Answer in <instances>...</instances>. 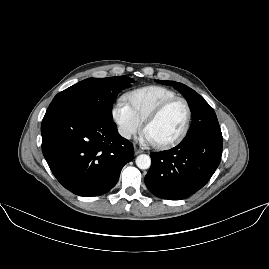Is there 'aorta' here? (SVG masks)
Instances as JSON below:
<instances>
[{
  "mask_svg": "<svg viewBox=\"0 0 269 269\" xmlns=\"http://www.w3.org/2000/svg\"><path fill=\"white\" fill-rule=\"evenodd\" d=\"M135 163L139 169L146 170L151 166V158L147 154H140L136 157Z\"/></svg>",
  "mask_w": 269,
  "mask_h": 269,
  "instance_id": "aorta-1",
  "label": "aorta"
}]
</instances>
